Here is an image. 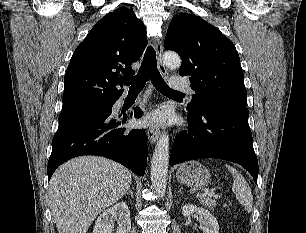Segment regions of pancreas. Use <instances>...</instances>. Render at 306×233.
I'll use <instances>...</instances> for the list:
<instances>
[{
	"label": "pancreas",
	"instance_id": "pancreas-1",
	"mask_svg": "<svg viewBox=\"0 0 306 233\" xmlns=\"http://www.w3.org/2000/svg\"><path fill=\"white\" fill-rule=\"evenodd\" d=\"M200 203L211 210H213L217 205L214 199L205 197L200 198Z\"/></svg>",
	"mask_w": 306,
	"mask_h": 233
}]
</instances>
